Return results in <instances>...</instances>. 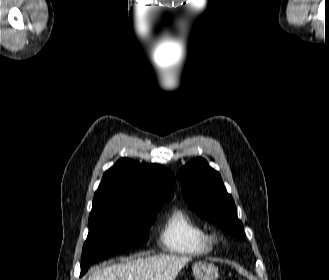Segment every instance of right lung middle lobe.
Here are the masks:
<instances>
[{"mask_svg":"<svg viewBox=\"0 0 329 280\" xmlns=\"http://www.w3.org/2000/svg\"><path fill=\"white\" fill-rule=\"evenodd\" d=\"M164 200L143 205L109 201L94 205L89 216V233L83 246L81 274L91 264L139 246L156 219Z\"/></svg>","mask_w":329,"mask_h":280,"instance_id":"dd1d6c3e","label":"right lung middle lobe"}]
</instances>
